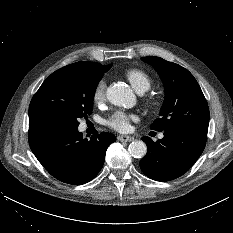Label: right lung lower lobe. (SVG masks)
Returning <instances> with one entry per match:
<instances>
[{
    "label": "right lung lower lobe",
    "instance_id": "right-lung-lower-lobe-1",
    "mask_svg": "<svg viewBox=\"0 0 233 233\" xmlns=\"http://www.w3.org/2000/svg\"><path fill=\"white\" fill-rule=\"evenodd\" d=\"M115 141L116 137L108 132L87 140L75 127L29 123L32 152L53 177L68 184L92 180L104 164L108 146Z\"/></svg>",
    "mask_w": 233,
    "mask_h": 233
}]
</instances>
